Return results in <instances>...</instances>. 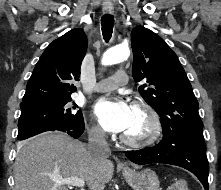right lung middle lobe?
<instances>
[{
    "mask_svg": "<svg viewBox=\"0 0 221 190\" xmlns=\"http://www.w3.org/2000/svg\"><path fill=\"white\" fill-rule=\"evenodd\" d=\"M71 97L52 99L20 106L18 140L52 130H72L84 124L81 110Z\"/></svg>",
    "mask_w": 221,
    "mask_h": 190,
    "instance_id": "dd1d6c3e",
    "label": "right lung middle lobe"
}]
</instances>
